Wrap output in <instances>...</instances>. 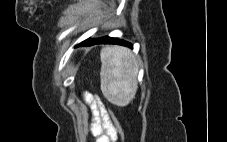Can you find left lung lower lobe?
I'll return each mask as SVG.
<instances>
[{
  "mask_svg": "<svg viewBox=\"0 0 227 142\" xmlns=\"http://www.w3.org/2000/svg\"><path fill=\"white\" fill-rule=\"evenodd\" d=\"M94 44H118V45L130 47V48L133 47L132 44L126 41H123L117 38H111L108 36L97 38V39H87L82 43H80L79 45H94Z\"/></svg>",
  "mask_w": 227,
  "mask_h": 142,
  "instance_id": "1",
  "label": "left lung lower lobe"
}]
</instances>
